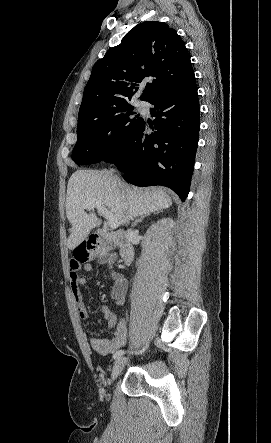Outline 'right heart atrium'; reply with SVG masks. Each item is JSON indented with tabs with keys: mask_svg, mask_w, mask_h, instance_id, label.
<instances>
[{
	"mask_svg": "<svg viewBox=\"0 0 271 443\" xmlns=\"http://www.w3.org/2000/svg\"><path fill=\"white\" fill-rule=\"evenodd\" d=\"M117 136V129L115 126L110 125L107 127V129L104 132V141L106 143H111L116 139Z\"/></svg>",
	"mask_w": 271,
	"mask_h": 443,
	"instance_id": "obj_1",
	"label": "right heart atrium"
}]
</instances>
